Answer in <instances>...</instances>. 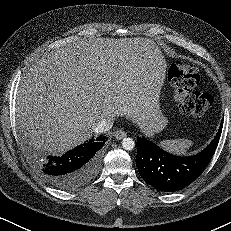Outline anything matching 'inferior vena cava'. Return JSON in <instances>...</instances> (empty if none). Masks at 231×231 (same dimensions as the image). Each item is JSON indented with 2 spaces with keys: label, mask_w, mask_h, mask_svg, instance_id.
Segmentation results:
<instances>
[{
  "label": "inferior vena cava",
  "mask_w": 231,
  "mask_h": 231,
  "mask_svg": "<svg viewBox=\"0 0 231 231\" xmlns=\"http://www.w3.org/2000/svg\"><path fill=\"white\" fill-rule=\"evenodd\" d=\"M113 126V120H102L95 128L96 133H104L108 130H110Z\"/></svg>",
  "instance_id": "inferior-vena-cava-1"
}]
</instances>
